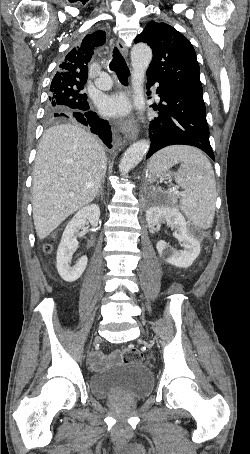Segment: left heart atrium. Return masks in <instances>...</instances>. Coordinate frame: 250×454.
I'll return each mask as SVG.
<instances>
[{
  "mask_svg": "<svg viewBox=\"0 0 250 454\" xmlns=\"http://www.w3.org/2000/svg\"><path fill=\"white\" fill-rule=\"evenodd\" d=\"M98 108L102 115L116 117L128 111V102L119 94L106 95L99 100Z\"/></svg>",
  "mask_w": 250,
  "mask_h": 454,
  "instance_id": "obj_1",
  "label": "left heart atrium"
}]
</instances>
